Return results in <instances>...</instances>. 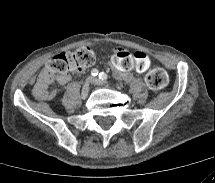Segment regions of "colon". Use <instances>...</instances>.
Wrapping results in <instances>:
<instances>
[{
    "instance_id": "obj_1",
    "label": "colon",
    "mask_w": 215,
    "mask_h": 183,
    "mask_svg": "<svg viewBox=\"0 0 215 183\" xmlns=\"http://www.w3.org/2000/svg\"><path fill=\"white\" fill-rule=\"evenodd\" d=\"M95 60L93 50L88 47L79 48L74 52L60 53L47 63L43 80L62 78L70 71H81L92 66ZM145 81L150 88L161 89L166 85L168 75L164 69L154 68L146 74Z\"/></svg>"
}]
</instances>
